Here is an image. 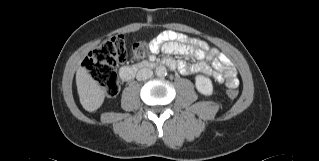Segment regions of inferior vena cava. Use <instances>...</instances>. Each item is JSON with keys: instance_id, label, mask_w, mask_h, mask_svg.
<instances>
[{"instance_id": "602c4592", "label": "inferior vena cava", "mask_w": 319, "mask_h": 161, "mask_svg": "<svg viewBox=\"0 0 319 161\" xmlns=\"http://www.w3.org/2000/svg\"><path fill=\"white\" fill-rule=\"evenodd\" d=\"M153 75V71L149 68H142L137 72L136 79L144 81L149 79Z\"/></svg>"}]
</instances>
